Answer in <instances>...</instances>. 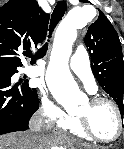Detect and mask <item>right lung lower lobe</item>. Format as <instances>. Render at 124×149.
Returning <instances> with one entry per match:
<instances>
[{
    "mask_svg": "<svg viewBox=\"0 0 124 149\" xmlns=\"http://www.w3.org/2000/svg\"><path fill=\"white\" fill-rule=\"evenodd\" d=\"M13 74L0 71V135L27 130L39 109L38 96L27 84H11Z\"/></svg>",
    "mask_w": 124,
    "mask_h": 149,
    "instance_id": "right-lung-lower-lobe-1",
    "label": "right lung lower lobe"
}]
</instances>
